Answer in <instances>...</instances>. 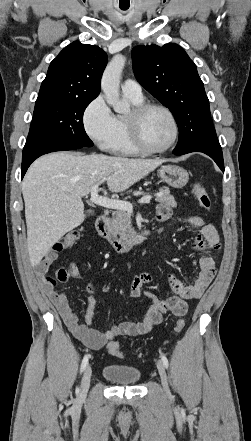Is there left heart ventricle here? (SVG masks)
<instances>
[{
  "mask_svg": "<svg viewBox=\"0 0 251 441\" xmlns=\"http://www.w3.org/2000/svg\"><path fill=\"white\" fill-rule=\"evenodd\" d=\"M141 131L146 144L162 148L172 139L173 126L168 115L158 109L149 111L142 119Z\"/></svg>",
  "mask_w": 251,
  "mask_h": 441,
  "instance_id": "obj_1",
  "label": "left heart ventricle"
}]
</instances>
